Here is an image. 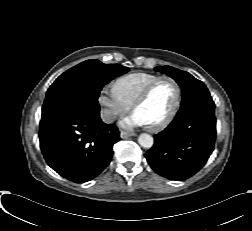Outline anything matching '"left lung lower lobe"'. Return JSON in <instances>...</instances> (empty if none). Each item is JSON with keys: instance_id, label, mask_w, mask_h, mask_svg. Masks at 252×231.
Returning a JSON list of instances; mask_svg holds the SVG:
<instances>
[{"instance_id": "left-lung-lower-lobe-1", "label": "left lung lower lobe", "mask_w": 252, "mask_h": 231, "mask_svg": "<svg viewBox=\"0 0 252 231\" xmlns=\"http://www.w3.org/2000/svg\"><path fill=\"white\" fill-rule=\"evenodd\" d=\"M214 110L212 99L182 105L169 126L154 135V145L145 154L151 168L172 180H184L198 172L214 150Z\"/></svg>"}]
</instances>
